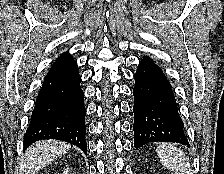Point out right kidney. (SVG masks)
<instances>
[{
	"label": "right kidney",
	"instance_id": "obj_1",
	"mask_svg": "<svg viewBox=\"0 0 224 174\" xmlns=\"http://www.w3.org/2000/svg\"><path fill=\"white\" fill-rule=\"evenodd\" d=\"M63 174H69V169H68V168L65 169V170L63 171Z\"/></svg>",
	"mask_w": 224,
	"mask_h": 174
}]
</instances>
